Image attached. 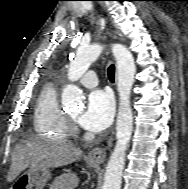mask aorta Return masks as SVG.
Returning a JSON list of instances; mask_svg holds the SVG:
<instances>
[{"label":"aorta","mask_w":188,"mask_h":189,"mask_svg":"<svg viewBox=\"0 0 188 189\" xmlns=\"http://www.w3.org/2000/svg\"><path fill=\"white\" fill-rule=\"evenodd\" d=\"M103 46L94 44L80 46L68 69V79L72 82L80 79L90 65L98 59ZM112 52L117 63V89L119 92V109L116 122V145L108 161L102 189H120L125 165L126 151L133 129V116L130 106V93L134 83L136 67L131 52L122 44H114ZM65 108L82 106L81 90L75 85H67L61 96Z\"/></svg>","instance_id":"1"}]
</instances>
